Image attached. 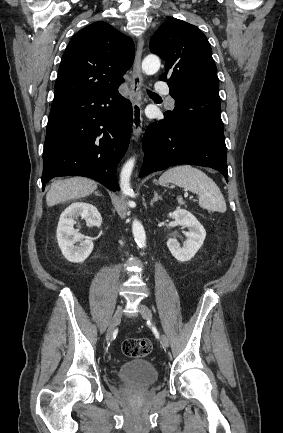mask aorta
Wrapping results in <instances>:
<instances>
[{"label": "aorta", "mask_w": 283, "mask_h": 433, "mask_svg": "<svg viewBox=\"0 0 283 433\" xmlns=\"http://www.w3.org/2000/svg\"><path fill=\"white\" fill-rule=\"evenodd\" d=\"M160 59L153 54H150L142 61V71L146 75L155 74L160 68ZM135 165V158H130L123 166L120 173V189L123 195L129 196L133 190L130 186V177ZM129 206L133 205L132 201L128 202ZM132 232L138 247L143 248L146 245V234L143 225L135 219L132 223Z\"/></svg>", "instance_id": "762f6f07"}]
</instances>
